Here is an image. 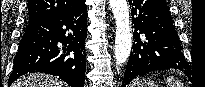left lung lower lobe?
<instances>
[{
	"label": "left lung lower lobe",
	"instance_id": "left-lung-lower-lobe-1",
	"mask_svg": "<svg viewBox=\"0 0 205 87\" xmlns=\"http://www.w3.org/2000/svg\"><path fill=\"white\" fill-rule=\"evenodd\" d=\"M134 24L133 50L122 87L138 76L162 69H179L188 75L179 36L165 0H129Z\"/></svg>",
	"mask_w": 205,
	"mask_h": 87
}]
</instances>
